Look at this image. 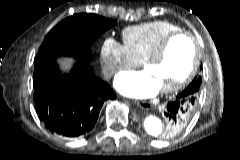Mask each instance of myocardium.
<instances>
[{
	"instance_id": "f54148a6",
	"label": "myocardium",
	"mask_w": 240,
	"mask_h": 160,
	"mask_svg": "<svg viewBox=\"0 0 240 160\" xmlns=\"http://www.w3.org/2000/svg\"><path fill=\"white\" fill-rule=\"evenodd\" d=\"M180 36L187 37L191 41L194 49V61L187 75L174 85L160 88L162 93H173L179 91L187 86L195 77L201 62V49L196 38L190 32L184 30L172 32L166 35L156 46V48L140 62L141 66L145 68L146 66L159 61L163 57L169 43L176 37Z\"/></svg>"
}]
</instances>
